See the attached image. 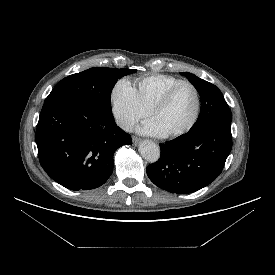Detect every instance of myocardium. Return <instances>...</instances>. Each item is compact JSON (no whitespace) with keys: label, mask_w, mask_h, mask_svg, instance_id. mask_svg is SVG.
<instances>
[{"label":"myocardium","mask_w":275,"mask_h":275,"mask_svg":"<svg viewBox=\"0 0 275 275\" xmlns=\"http://www.w3.org/2000/svg\"><path fill=\"white\" fill-rule=\"evenodd\" d=\"M182 86H189L190 88L193 89L195 96H196V109H195V113L191 119V121L182 129L172 132V133H168L165 134L164 136L166 138H177L180 136H183L185 134H187L188 132H190L194 126L197 124L200 115H201V110H202V99H201V95L200 92L198 90V88L191 82L189 81H181L179 83H177L176 85L172 86L171 88H169L163 95L162 97L154 104V106L152 107L150 114L152 117L155 116V114L163 109L165 106L168 105V103L170 102L171 98L173 97L174 93Z\"/></svg>","instance_id":"1"}]
</instances>
